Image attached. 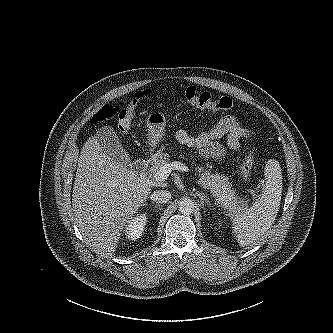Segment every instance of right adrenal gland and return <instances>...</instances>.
Wrapping results in <instances>:
<instances>
[{"instance_id":"2a0ac1e0","label":"right adrenal gland","mask_w":333,"mask_h":333,"mask_svg":"<svg viewBox=\"0 0 333 333\" xmlns=\"http://www.w3.org/2000/svg\"><path fill=\"white\" fill-rule=\"evenodd\" d=\"M156 207H160V205H157V204H156Z\"/></svg>"}]
</instances>
